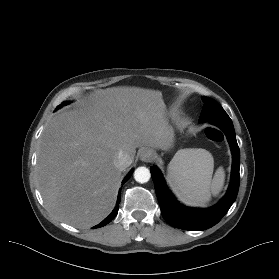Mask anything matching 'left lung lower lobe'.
<instances>
[{
	"label": "left lung lower lobe",
	"instance_id": "left-lung-lower-lobe-1",
	"mask_svg": "<svg viewBox=\"0 0 279 279\" xmlns=\"http://www.w3.org/2000/svg\"><path fill=\"white\" fill-rule=\"evenodd\" d=\"M227 136L233 154L232 175L228 191L224 198L208 209H192L180 205L168 190L165 181L156 166L150 168L161 213L168 224L185 230H205L217 224L228 212L235 201L240 182V151L236 141L235 130L231 120L213 122Z\"/></svg>",
	"mask_w": 279,
	"mask_h": 279
}]
</instances>
